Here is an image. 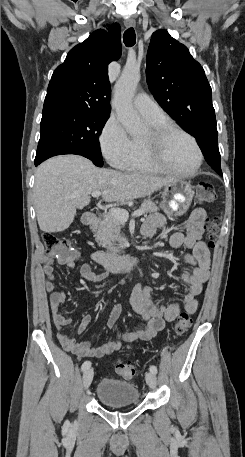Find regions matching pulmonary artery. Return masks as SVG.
Listing matches in <instances>:
<instances>
[{
    "label": "pulmonary artery",
    "mask_w": 245,
    "mask_h": 457,
    "mask_svg": "<svg viewBox=\"0 0 245 457\" xmlns=\"http://www.w3.org/2000/svg\"><path fill=\"white\" fill-rule=\"evenodd\" d=\"M135 109L147 120L163 116V110L155 102L148 100L147 93H137L133 99Z\"/></svg>",
    "instance_id": "obj_1"
}]
</instances>
